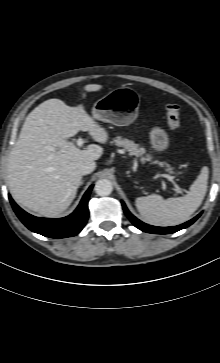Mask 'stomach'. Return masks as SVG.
Returning <instances> with one entry per match:
<instances>
[{
  "instance_id": "1",
  "label": "stomach",
  "mask_w": 220,
  "mask_h": 363,
  "mask_svg": "<svg viewBox=\"0 0 220 363\" xmlns=\"http://www.w3.org/2000/svg\"><path fill=\"white\" fill-rule=\"evenodd\" d=\"M140 104L141 96L136 90L119 87L95 102L92 116L116 126H127L136 120ZM149 139L151 148L157 152H162L169 146L168 135L160 127L151 129Z\"/></svg>"
}]
</instances>
